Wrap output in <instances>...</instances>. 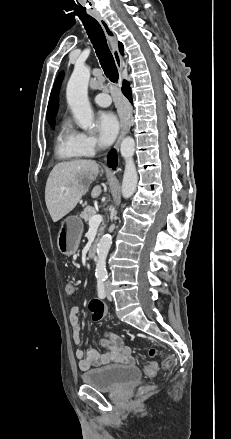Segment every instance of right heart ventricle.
Returning <instances> with one entry per match:
<instances>
[{
    "label": "right heart ventricle",
    "mask_w": 231,
    "mask_h": 439,
    "mask_svg": "<svg viewBox=\"0 0 231 439\" xmlns=\"http://www.w3.org/2000/svg\"><path fill=\"white\" fill-rule=\"evenodd\" d=\"M56 155L62 160H75L83 156L78 148L77 135L69 123H64L57 135Z\"/></svg>",
    "instance_id": "obj_1"
}]
</instances>
